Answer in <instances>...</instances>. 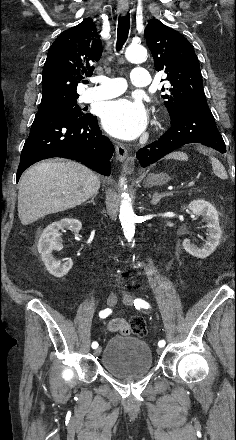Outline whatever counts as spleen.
Returning <instances> with one entry per match:
<instances>
[{"label": "spleen", "mask_w": 236, "mask_h": 440, "mask_svg": "<svg viewBox=\"0 0 236 440\" xmlns=\"http://www.w3.org/2000/svg\"><path fill=\"white\" fill-rule=\"evenodd\" d=\"M210 160L214 173L221 179H227V173L225 171L224 166L217 159L213 157H211Z\"/></svg>", "instance_id": "obj_1"}]
</instances>
